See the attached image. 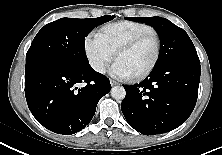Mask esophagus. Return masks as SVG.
I'll return each mask as SVG.
<instances>
[{
  "instance_id": "obj_1",
  "label": "esophagus",
  "mask_w": 222,
  "mask_h": 155,
  "mask_svg": "<svg viewBox=\"0 0 222 155\" xmlns=\"http://www.w3.org/2000/svg\"><path fill=\"white\" fill-rule=\"evenodd\" d=\"M110 84H111V86H115V85H117L118 84V82H116L115 80H110Z\"/></svg>"
}]
</instances>
